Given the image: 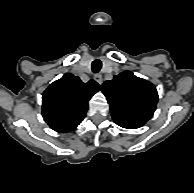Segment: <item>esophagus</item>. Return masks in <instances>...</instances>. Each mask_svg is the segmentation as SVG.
Here are the masks:
<instances>
[{
    "label": "esophagus",
    "mask_w": 194,
    "mask_h": 193,
    "mask_svg": "<svg viewBox=\"0 0 194 193\" xmlns=\"http://www.w3.org/2000/svg\"><path fill=\"white\" fill-rule=\"evenodd\" d=\"M94 80L98 83V84H102V82H103V78H102V75L101 74H96L95 76H94Z\"/></svg>",
    "instance_id": "1"
}]
</instances>
